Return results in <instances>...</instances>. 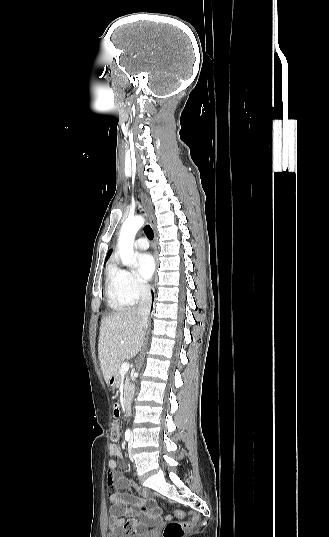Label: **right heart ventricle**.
Returning a JSON list of instances; mask_svg holds the SVG:
<instances>
[{
    "instance_id": "e07e8e85",
    "label": "right heart ventricle",
    "mask_w": 329,
    "mask_h": 537,
    "mask_svg": "<svg viewBox=\"0 0 329 537\" xmlns=\"http://www.w3.org/2000/svg\"><path fill=\"white\" fill-rule=\"evenodd\" d=\"M116 269L110 268L106 278V297L108 305L116 311L133 305L134 302L128 300L118 289L116 282Z\"/></svg>"
}]
</instances>
